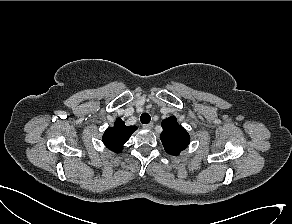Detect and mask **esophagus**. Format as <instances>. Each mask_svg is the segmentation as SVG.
I'll list each match as a JSON object with an SVG mask.
<instances>
[{
  "instance_id": "1",
  "label": "esophagus",
  "mask_w": 292,
  "mask_h": 224,
  "mask_svg": "<svg viewBox=\"0 0 292 224\" xmlns=\"http://www.w3.org/2000/svg\"><path fill=\"white\" fill-rule=\"evenodd\" d=\"M143 127L146 128V129H152L154 127V124L151 122L149 124L143 125Z\"/></svg>"
}]
</instances>
